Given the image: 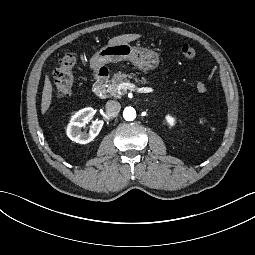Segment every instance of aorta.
Segmentation results:
<instances>
[{"label": "aorta", "instance_id": "obj_1", "mask_svg": "<svg viewBox=\"0 0 255 255\" xmlns=\"http://www.w3.org/2000/svg\"><path fill=\"white\" fill-rule=\"evenodd\" d=\"M123 117L126 121H133L136 118V111L133 107H126L123 111Z\"/></svg>", "mask_w": 255, "mask_h": 255}]
</instances>
